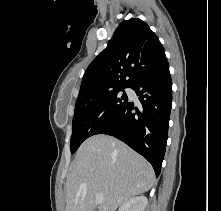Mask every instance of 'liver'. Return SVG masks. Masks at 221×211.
<instances>
[{"mask_svg":"<svg viewBox=\"0 0 221 211\" xmlns=\"http://www.w3.org/2000/svg\"><path fill=\"white\" fill-rule=\"evenodd\" d=\"M155 173L142 156L108 135L88 138L78 149L66 180L65 211H116L130 198L149 191Z\"/></svg>","mask_w":221,"mask_h":211,"instance_id":"obj_1","label":"liver"}]
</instances>
